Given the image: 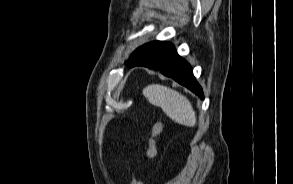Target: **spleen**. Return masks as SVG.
<instances>
[{
  "label": "spleen",
  "mask_w": 293,
  "mask_h": 184,
  "mask_svg": "<svg viewBox=\"0 0 293 184\" xmlns=\"http://www.w3.org/2000/svg\"><path fill=\"white\" fill-rule=\"evenodd\" d=\"M143 95L152 104L161 107L174 122L194 127L196 113L190 101L178 91L160 84H151L143 89Z\"/></svg>",
  "instance_id": "obj_1"
}]
</instances>
